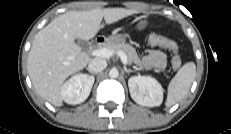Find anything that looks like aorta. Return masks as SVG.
<instances>
[{"label":"aorta","mask_w":231,"mask_h":134,"mask_svg":"<svg viewBox=\"0 0 231 134\" xmlns=\"http://www.w3.org/2000/svg\"><path fill=\"white\" fill-rule=\"evenodd\" d=\"M111 78H117L119 76V71L116 68H112L109 72Z\"/></svg>","instance_id":"obj_1"}]
</instances>
